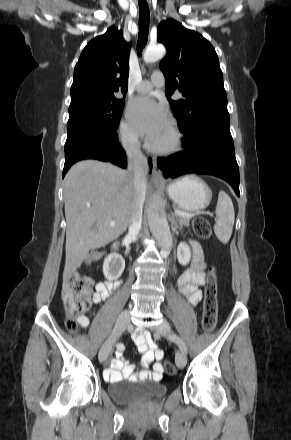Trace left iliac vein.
Returning <instances> with one entry per match:
<instances>
[{
  "label": "left iliac vein",
  "instance_id": "4c4485c4",
  "mask_svg": "<svg viewBox=\"0 0 291 440\" xmlns=\"http://www.w3.org/2000/svg\"><path fill=\"white\" fill-rule=\"evenodd\" d=\"M156 333L163 336L168 337L171 334V327L166 320H162V322L156 327ZM187 358L186 354L183 351H177L176 353V365L179 369H183L186 366Z\"/></svg>",
  "mask_w": 291,
  "mask_h": 440
}]
</instances>
